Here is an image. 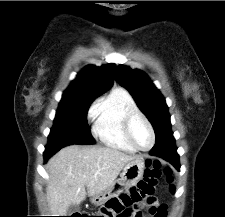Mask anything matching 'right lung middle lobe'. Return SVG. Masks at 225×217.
Returning a JSON list of instances; mask_svg holds the SVG:
<instances>
[{"mask_svg": "<svg viewBox=\"0 0 225 217\" xmlns=\"http://www.w3.org/2000/svg\"><path fill=\"white\" fill-rule=\"evenodd\" d=\"M95 98L97 97H62L47 146L62 148L71 144H94L95 140L87 124V111Z\"/></svg>", "mask_w": 225, "mask_h": 217, "instance_id": "dd1d6c3e", "label": "right lung middle lobe"}]
</instances>
